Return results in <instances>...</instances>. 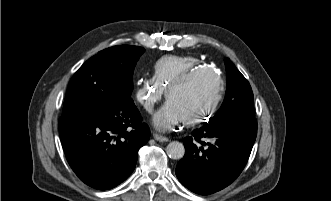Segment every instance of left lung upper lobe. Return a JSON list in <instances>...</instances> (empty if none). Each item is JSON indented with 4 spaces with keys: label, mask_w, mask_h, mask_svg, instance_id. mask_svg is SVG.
Returning <instances> with one entry per match:
<instances>
[{
    "label": "left lung upper lobe",
    "mask_w": 331,
    "mask_h": 201,
    "mask_svg": "<svg viewBox=\"0 0 331 201\" xmlns=\"http://www.w3.org/2000/svg\"><path fill=\"white\" fill-rule=\"evenodd\" d=\"M227 90L224 102L209 124L226 120L255 119L254 97L250 84L234 64L225 58Z\"/></svg>",
    "instance_id": "5c2ea615"
}]
</instances>
